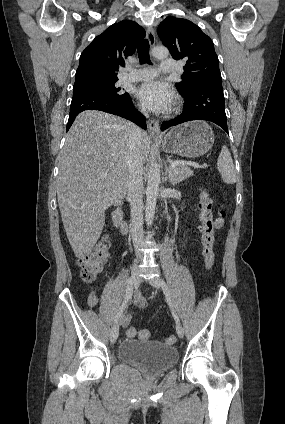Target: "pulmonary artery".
Listing matches in <instances>:
<instances>
[{
  "mask_svg": "<svg viewBox=\"0 0 285 424\" xmlns=\"http://www.w3.org/2000/svg\"><path fill=\"white\" fill-rule=\"evenodd\" d=\"M176 68V61L167 59L162 62L160 69L163 73H171L176 70ZM157 72L158 71L154 68H142L126 74L124 80L130 82L151 80L156 76Z\"/></svg>",
  "mask_w": 285,
  "mask_h": 424,
  "instance_id": "e3ab8cb5",
  "label": "pulmonary artery"
}]
</instances>
